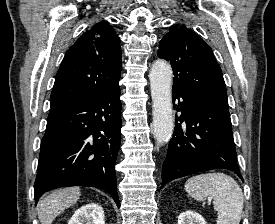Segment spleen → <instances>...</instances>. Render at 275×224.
I'll return each instance as SVG.
<instances>
[{
    "label": "spleen",
    "instance_id": "obj_1",
    "mask_svg": "<svg viewBox=\"0 0 275 224\" xmlns=\"http://www.w3.org/2000/svg\"><path fill=\"white\" fill-rule=\"evenodd\" d=\"M187 193L197 201L205 197L214 200L218 212L217 224H239L243 212V193L238 183L224 173H205L191 177L185 183Z\"/></svg>",
    "mask_w": 275,
    "mask_h": 224
}]
</instances>
